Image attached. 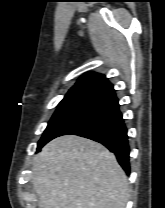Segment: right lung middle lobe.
Instances as JSON below:
<instances>
[{
  "label": "right lung middle lobe",
  "mask_w": 165,
  "mask_h": 208,
  "mask_svg": "<svg viewBox=\"0 0 165 208\" xmlns=\"http://www.w3.org/2000/svg\"><path fill=\"white\" fill-rule=\"evenodd\" d=\"M91 109L92 107L88 106H58L42 138L38 142L37 151H40L46 143L58 137L64 130L86 115Z\"/></svg>",
  "instance_id": "right-lung-middle-lobe-1"
}]
</instances>
